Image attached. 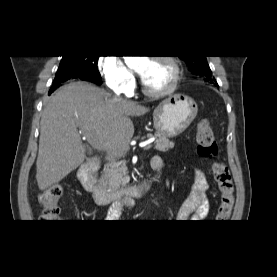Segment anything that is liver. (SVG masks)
Segmentation results:
<instances>
[{
  "mask_svg": "<svg viewBox=\"0 0 277 277\" xmlns=\"http://www.w3.org/2000/svg\"><path fill=\"white\" fill-rule=\"evenodd\" d=\"M149 108L130 100L110 98L102 89L85 82L59 88L46 101L41 114L36 179L40 190L60 182L86 158L78 128L93 136L107 159L122 155L134 135L130 116Z\"/></svg>",
  "mask_w": 277,
  "mask_h": 277,
  "instance_id": "1",
  "label": "liver"
}]
</instances>
